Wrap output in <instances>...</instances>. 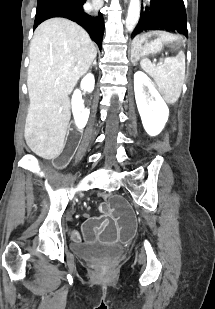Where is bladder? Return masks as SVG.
Instances as JSON below:
<instances>
[{
    "label": "bladder",
    "mask_w": 215,
    "mask_h": 309,
    "mask_svg": "<svg viewBox=\"0 0 215 309\" xmlns=\"http://www.w3.org/2000/svg\"><path fill=\"white\" fill-rule=\"evenodd\" d=\"M72 252L84 261H111L117 259L122 251L115 246L101 244H73Z\"/></svg>",
    "instance_id": "31cf9c89"
}]
</instances>
